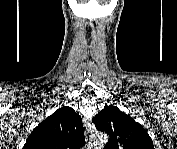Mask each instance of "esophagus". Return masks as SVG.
I'll use <instances>...</instances> for the list:
<instances>
[{"label":"esophagus","mask_w":177,"mask_h":149,"mask_svg":"<svg viewBox=\"0 0 177 149\" xmlns=\"http://www.w3.org/2000/svg\"><path fill=\"white\" fill-rule=\"evenodd\" d=\"M85 127V140L88 149H92L94 146L92 133L94 131V125L90 121L84 120Z\"/></svg>","instance_id":"34e87169"}]
</instances>
